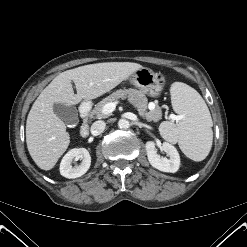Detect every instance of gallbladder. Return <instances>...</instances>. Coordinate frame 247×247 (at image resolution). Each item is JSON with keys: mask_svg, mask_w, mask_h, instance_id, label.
I'll return each mask as SVG.
<instances>
[{"mask_svg": "<svg viewBox=\"0 0 247 247\" xmlns=\"http://www.w3.org/2000/svg\"><path fill=\"white\" fill-rule=\"evenodd\" d=\"M54 113L67 125L78 124V111L74 106L56 103L53 106Z\"/></svg>", "mask_w": 247, "mask_h": 247, "instance_id": "bac80fb5", "label": "gallbladder"}]
</instances>
